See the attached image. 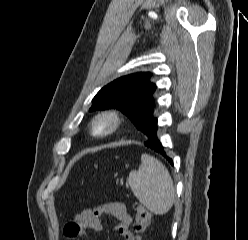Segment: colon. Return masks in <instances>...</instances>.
I'll use <instances>...</instances> for the list:
<instances>
[{
  "instance_id": "obj_1",
  "label": "colon",
  "mask_w": 248,
  "mask_h": 240,
  "mask_svg": "<svg viewBox=\"0 0 248 240\" xmlns=\"http://www.w3.org/2000/svg\"><path fill=\"white\" fill-rule=\"evenodd\" d=\"M134 209L136 215L134 240H142V235L145 233L151 222V214L145 207L139 204H135Z\"/></svg>"
}]
</instances>
